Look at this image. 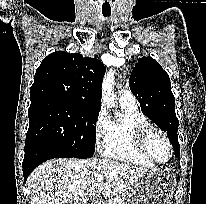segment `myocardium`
<instances>
[{"mask_svg": "<svg viewBox=\"0 0 206 204\" xmlns=\"http://www.w3.org/2000/svg\"><path fill=\"white\" fill-rule=\"evenodd\" d=\"M152 134L160 135L167 143V146L169 149V156L164 161H158V160L154 159L148 151L147 143H148V140ZM136 143H137V147H138L139 152L148 161H150L154 165L166 164L171 160V158L173 156V146H172L171 140L169 139V137L167 136V134L165 132H163L162 130H160L159 128H156L154 126L150 125V126L142 128L137 134Z\"/></svg>", "mask_w": 206, "mask_h": 204, "instance_id": "myocardium-1", "label": "myocardium"}]
</instances>
